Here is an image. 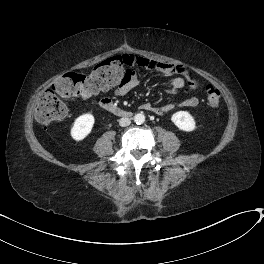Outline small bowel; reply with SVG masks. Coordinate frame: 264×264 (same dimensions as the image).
Segmentation results:
<instances>
[{"mask_svg": "<svg viewBox=\"0 0 264 264\" xmlns=\"http://www.w3.org/2000/svg\"><path fill=\"white\" fill-rule=\"evenodd\" d=\"M131 57L133 59V63L131 65L132 67L143 68L170 77L169 85L166 89L167 93L178 94L180 92H184L186 89L189 88L186 77L187 69L185 66L173 65L170 63L156 61L135 55ZM138 84H139V78L135 73V69H129L125 73L122 81L116 87L115 95L118 97L125 96L136 86H138ZM197 104H198V100L193 96L186 98L182 103L183 106L188 108H194L197 106ZM140 108L147 112H153L158 115H164L171 112L175 108V105L168 103L158 106L150 102H145L140 106Z\"/></svg>", "mask_w": 264, "mask_h": 264, "instance_id": "small-bowel-1", "label": "small bowel"}]
</instances>
